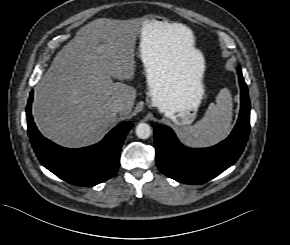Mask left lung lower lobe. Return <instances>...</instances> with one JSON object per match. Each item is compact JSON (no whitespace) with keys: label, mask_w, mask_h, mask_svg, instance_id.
<instances>
[{"label":"left lung lower lobe","mask_w":290,"mask_h":245,"mask_svg":"<svg viewBox=\"0 0 290 245\" xmlns=\"http://www.w3.org/2000/svg\"><path fill=\"white\" fill-rule=\"evenodd\" d=\"M238 77L241 92L240 115L230 136L219 144L209 148H187L181 145L171 128L156 126V163L163 174L178 182L202 184L237 161L250 130V101L240 67Z\"/></svg>","instance_id":"1"}]
</instances>
